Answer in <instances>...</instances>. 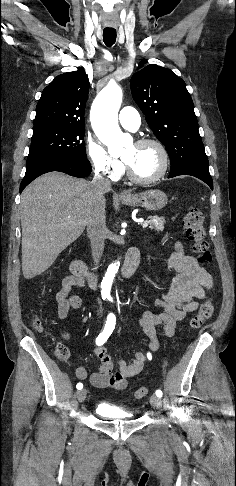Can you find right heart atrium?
<instances>
[{"label":"right heart atrium","instance_id":"d8ad5b80","mask_svg":"<svg viewBox=\"0 0 236 486\" xmlns=\"http://www.w3.org/2000/svg\"><path fill=\"white\" fill-rule=\"evenodd\" d=\"M86 153L97 174L113 181L119 179L123 174V163L112 157L105 146L97 139H88L86 143Z\"/></svg>","mask_w":236,"mask_h":486}]
</instances>
